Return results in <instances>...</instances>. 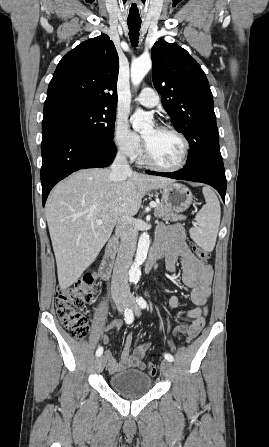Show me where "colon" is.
I'll return each instance as SVG.
<instances>
[{
	"label": "colon",
	"mask_w": 269,
	"mask_h": 447,
	"mask_svg": "<svg viewBox=\"0 0 269 447\" xmlns=\"http://www.w3.org/2000/svg\"><path fill=\"white\" fill-rule=\"evenodd\" d=\"M192 251L201 262H208L210 253L200 246L193 245ZM97 296V283L94 278L86 273L68 288H58L55 294V310L61 324L67 328L73 337L85 338L89 334V322L84 311ZM193 338L188 336L186 343H191ZM139 355V353H137ZM149 376H156L157 366L150 363L146 366Z\"/></svg>",
	"instance_id": "colon-1"
}]
</instances>
